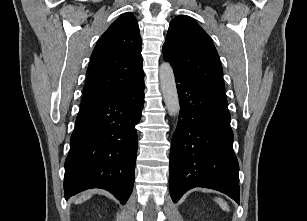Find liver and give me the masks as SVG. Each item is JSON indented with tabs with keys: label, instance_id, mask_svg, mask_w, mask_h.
Here are the masks:
<instances>
[{
	"label": "liver",
	"instance_id": "1",
	"mask_svg": "<svg viewBox=\"0 0 307 221\" xmlns=\"http://www.w3.org/2000/svg\"><path fill=\"white\" fill-rule=\"evenodd\" d=\"M90 197H91V193L83 194L82 196H80V197L75 201V203H76V204H80V203H82L83 201L89 199Z\"/></svg>",
	"mask_w": 307,
	"mask_h": 221
}]
</instances>
